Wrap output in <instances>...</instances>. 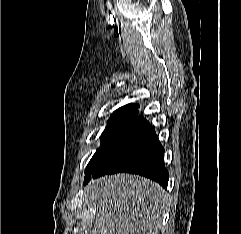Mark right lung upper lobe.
Wrapping results in <instances>:
<instances>
[{
  "label": "right lung upper lobe",
  "instance_id": "right-lung-upper-lobe-1",
  "mask_svg": "<svg viewBox=\"0 0 241 234\" xmlns=\"http://www.w3.org/2000/svg\"><path fill=\"white\" fill-rule=\"evenodd\" d=\"M129 105H134V106H138L137 104H129Z\"/></svg>",
  "mask_w": 241,
  "mask_h": 234
}]
</instances>
